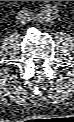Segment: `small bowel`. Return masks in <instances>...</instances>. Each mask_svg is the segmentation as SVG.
Here are the masks:
<instances>
[{"label":"small bowel","mask_w":74,"mask_h":122,"mask_svg":"<svg viewBox=\"0 0 74 122\" xmlns=\"http://www.w3.org/2000/svg\"><path fill=\"white\" fill-rule=\"evenodd\" d=\"M56 12V8L54 5H47L44 9H43V14L45 16H48L50 18H53Z\"/></svg>","instance_id":"obj_1"}]
</instances>
